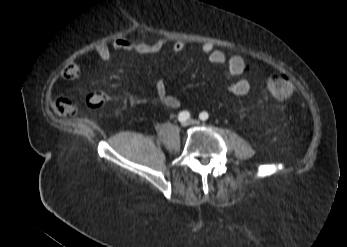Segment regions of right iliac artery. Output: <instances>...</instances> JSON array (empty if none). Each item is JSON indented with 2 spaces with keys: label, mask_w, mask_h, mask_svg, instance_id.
<instances>
[{
  "label": "right iliac artery",
  "mask_w": 347,
  "mask_h": 247,
  "mask_svg": "<svg viewBox=\"0 0 347 247\" xmlns=\"http://www.w3.org/2000/svg\"><path fill=\"white\" fill-rule=\"evenodd\" d=\"M190 118V113L188 111H182L179 113L178 115V120L180 122H185L186 120H188Z\"/></svg>",
  "instance_id": "82829eb1"
}]
</instances>
